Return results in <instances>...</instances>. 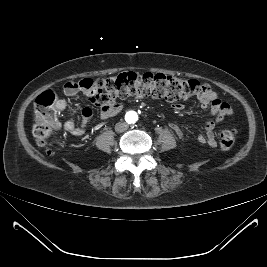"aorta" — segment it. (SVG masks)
Returning <instances> with one entry per match:
<instances>
[{"label": "aorta", "instance_id": "762f6f07", "mask_svg": "<svg viewBox=\"0 0 267 267\" xmlns=\"http://www.w3.org/2000/svg\"><path fill=\"white\" fill-rule=\"evenodd\" d=\"M126 119L130 122V123H135L138 119V115L136 112H128L126 115Z\"/></svg>", "mask_w": 267, "mask_h": 267}]
</instances>
